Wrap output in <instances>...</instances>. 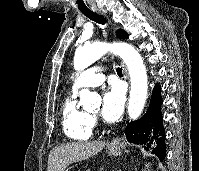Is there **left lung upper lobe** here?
Wrapping results in <instances>:
<instances>
[{"label": "left lung upper lobe", "mask_w": 199, "mask_h": 171, "mask_svg": "<svg viewBox=\"0 0 199 171\" xmlns=\"http://www.w3.org/2000/svg\"><path fill=\"white\" fill-rule=\"evenodd\" d=\"M116 35H117L118 38H123V39L128 38L127 33L124 30H121V29H119L116 32Z\"/></svg>", "instance_id": "1"}]
</instances>
